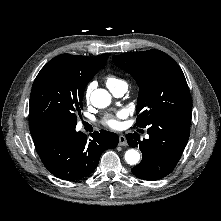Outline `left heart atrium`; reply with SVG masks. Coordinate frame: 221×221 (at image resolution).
I'll use <instances>...</instances> for the list:
<instances>
[{
    "label": "left heart atrium",
    "instance_id": "left-heart-atrium-1",
    "mask_svg": "<svg viewBox=\"0 0 221 221\" xmlns=\"http://www.w3.org/2000/svg\"><path fill=\"white\" fill-rule=\"evenodd\" d=\"M125 112H119L116 116H108L104 120V124L110 128L118 129L121 126L120 118L125 116Z\"/></svg>",
    "mask_w": 221,
    "mask_h": 221
}]
</instances>
